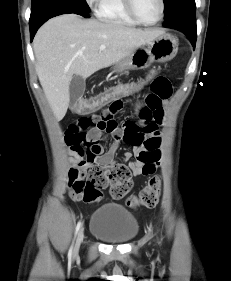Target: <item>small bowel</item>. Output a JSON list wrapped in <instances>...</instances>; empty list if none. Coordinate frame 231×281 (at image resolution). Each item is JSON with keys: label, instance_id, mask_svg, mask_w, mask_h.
Masks as SVG:
<instances>
[{"label": "small bowel", "instance_id": "c3829d8e", "mask_svg": "<svg viewBox=\"0 0 231 281\" xmlns=\"http://www.w3.org/2000/svg\"><path fill=\"white\" fill-rule=\"evenodd\" d=\"M148 85L150 93L136 109L137 122L126 121L118 127L115 115L123 108L122 100H118L111 102L100 115L89 112L69 124L65 131V144L70 164L68 186L74 200L80 199L74 195L72 186L76 181H83L89 168L110 169L117 165H128L133 176L150 175L158 168L159 127L164 121V106L171 95V85L164 76L154 77ZM103 133L112 139L107 151L101 140ZM121 142L133 148L135 161H131L130 152H126L120 161L115 159Z\"/></svg>", "mask_w": 231, "mask_h": 281}]
</instances>
